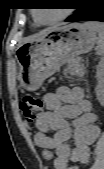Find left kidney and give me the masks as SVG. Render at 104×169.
Instances as JSON below:
<instances>
[{"label":"left kidney","instance_id":"5707ae66","mask_svg":"<svg viewBox=\"0 0 104 169\" xmlns=\"http://www.w3.org/2000/svg\"><path fill=\"white\" fill-rule=\"evenodd\" d=\"M103 65V61H101L97 67L98 85L95 88L97 98L101 103L104 101Z\"/></svg>","mask_w":104,"mask_h":169}]
</instances>
